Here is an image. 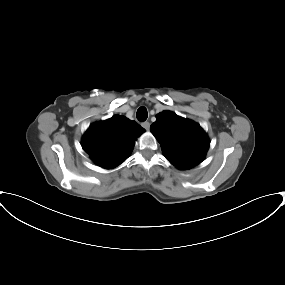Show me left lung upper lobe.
<instances>
[{
    "label": "left lung upper lobe",
    "mask_w": 285,
    "mask_h": 285,
    "mask_svg": "<svg viewBox=\"0 0 285 285\" xmlns=\"http://www.w3.org/2000/svg\"><path fill=\"white\" fill-rule=\"evenodd\" d=\"M150 131L159 141L163 154L180 169H190L204 160L210 141L199 124L171 111L156 115Z\"/></svg>",
    "instance_id": "left-lung-upper-lobe-1"
}]
</instances>
